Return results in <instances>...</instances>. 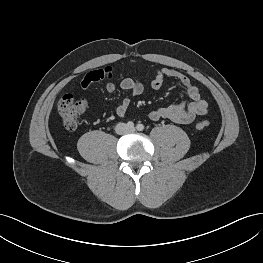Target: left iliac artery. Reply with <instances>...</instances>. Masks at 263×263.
Listing matches in <instances>:
<instances>
[{"instance_id": "1", "label": "left iliac artery", "mask_w": 263, "mask_h": 263, "mask_svg": "<svg viewBox=\"0 0 263 263\" xmlns=\"http://www.w3.org/2000/svg\"><path fill=\"white\" fill-rule=\"evenodd\" d=\"M136 128H137L138 131H143L144 130V125L143 124H138Z\"/></svg>"}]
</instances>
